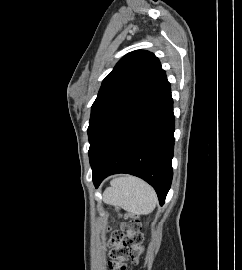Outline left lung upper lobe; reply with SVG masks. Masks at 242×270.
<instances>
[{
  "label": "left lung upper lobe",
  "mask_w": 242,
  "mask_h": 270,
  "mask_svg": "<svg viewBox=\"0 0 242 270\" xmlns=\"http://www.w3.org/2000/svg\"><path fill=\"white\" fill-rule=\"evenodd\" d=\"M165 77L158 58L145 50L130 52L116 64L103 80L91 108L90 164L114 125L149 96Z\"/></svg>",
  "instance_id": "left-lung-upper-lobe-1"
}]
</instances>
